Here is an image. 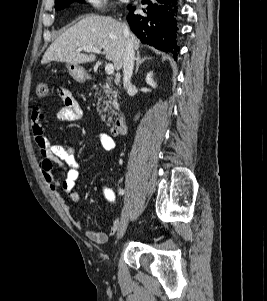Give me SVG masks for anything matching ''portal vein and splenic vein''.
<instances>
[{
    "label": "portal vein and splenic vein",
    "instance_id": "1",
    "mask_svg": "<svg viewBox=\"0 0 267 301\" xmlns=\"http://www.w3.org/2000/svg\"><path fill=\"white\" fill-rule=\"evenodd\" d=\"M79 51H86V52H94L97 54L101 53V49L96 48V47H92V46H84V47H80L78 49ZM105 71L108 75H111L114 73V66L113 64L109 63L105 66Z\"/></svg>",
    "mask_w": 267,
    "mask_h": 301
}]
</instances>
